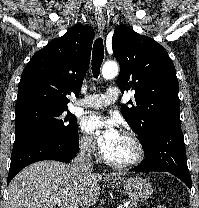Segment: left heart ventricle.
Returning <instances> with one entry per match:
<instances>
[{
    "instance_id": "b2bd125f",
    "label": "left heart ventricle",
    "mask_w": 199,
    "mask_h": 208,
    "mask_svg": "<svg viewBox=\"0 0 199 208\" xmlns=\"http://www.w3.org/2000/svg\"><path fill=\"white\" fill-rule=\"evenodd\" d=\"M105 155L115 161H129L136 156V148L127 137L121 134L120 138Z\"/></svg>"
}]
</instances>
